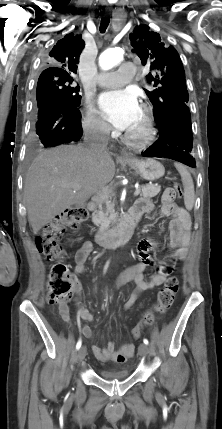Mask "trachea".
Returning a JSON list of instances; mask_svg holds the SVG:
<instances>
[{
	"label": "trachea",
	"mask_w": 222,
	"mask_h": 429,
	"mask_svg": "<svg viewBox=\"0 0 222 429\" xmlns=\"http://www.w3.org/2000/svg\"><path fill=\"white\" fill-rule=\"evenodd\" d=\"M109 23H110V18L109 17L101 19V23H100V32L101 33H104L106 31Z\"/></svg>",
	"instance_id": "obj_1"
}]
</instances>
